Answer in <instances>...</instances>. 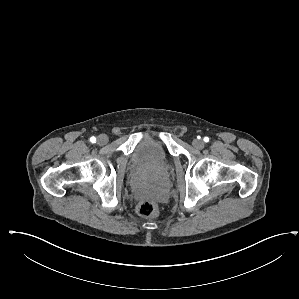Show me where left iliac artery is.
<instances>
[{
	"instance_id": "1",
	"label": "left iliac artery",
	"mask_w": 299,
	"mask_h": 299,
	"mask_svg": "<svg viewBox=\"0 0 299 299\" xmlns=\"http://www.w3.org/2000/svg\"><path fill=\"white\" fill-rule=\"evenodd\" d=\"M204 141H205V142H208V141H209V138H208V137H205V138H204Z\"/></svg>"
}]
</instances>
